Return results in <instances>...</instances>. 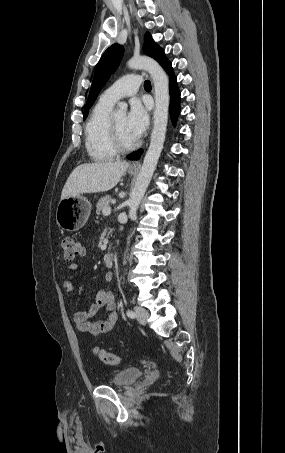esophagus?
Masks as SVG:
<instances>
[{
	"mask_svg": "<svg viewBox=\"0 0 285 453\" xmlns=\"http://www.w3.org/2000/svg\"><path fill=\"white\" fill-rule=\"evenodd\" d=\"M130 168L131 169H139L140 168V160H136V161L132 162L131 165H130Z\"/></svg>",
	"mask_w": 285,
	"mask_h": 453,
	"instance_id": "34e87169",
	"label": "esophagus"
}]
</instances>
